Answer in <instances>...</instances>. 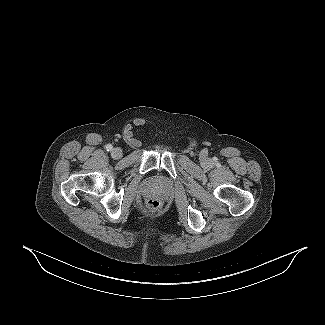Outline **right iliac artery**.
I'll list each match as a JSON object with an SVG mask.
<instances>
[{
    "label": "right iliac artery",
    "instance_id": "1",
    "mask_svg": "<svg viewBox=\"0 0 325 325\" xmlns=\"http://www.w3.org/2000/svg\"><path fill=\"white\" fill-rule=\"evenodd\" d=\"M112 149H113V146L111 144L106 145V150L107 151H112Z\"/></svg>",
    "mask_w": 325,
    "mask_h": 325
}]
</instances>
